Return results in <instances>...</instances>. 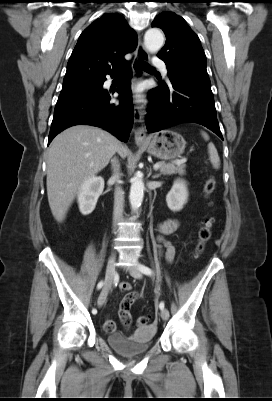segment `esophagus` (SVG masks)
Masks as SVG:
<instances>
[{
    "label": "esophagus",
    "instance_id": "obj_1",
    "mask_svg": "<svg viewBox=\"0 0 272 401\" xmlns=\"http://www.w3.org/2000/svg\"><path fill=\"white\" fill-rule=\"evenodd\" d=\"M148 59H149V54L146 51V49L142 43V40L139 37V41H138V45H137L136 53H135V58L132 62V70H133V76H134L135 82L140 80L143 76V72L140 67V62L147 61ZM134 121L137 125H139L138 127H136L134 129L135 142L138 145L144 144L147 140L146 129L143 125L144 113H143L142 107L140 105H138L136 102L134 105Z\"/></svg>",
    "mask_w": 272,
    "mask_h": 401
}]
</instances>
